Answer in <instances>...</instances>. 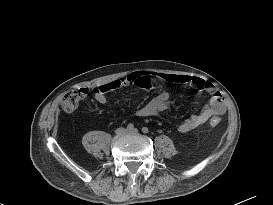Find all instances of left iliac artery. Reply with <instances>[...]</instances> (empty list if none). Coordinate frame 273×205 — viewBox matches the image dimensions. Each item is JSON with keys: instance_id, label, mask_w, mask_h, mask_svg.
<instances>
[{"instance_id": "left-iliac-artery-1", "label": "left iliac artery", "mask_w": 273, "mask_h": 205, "mask_svg": "<svg viewBox=\"0 0 273 205\" xmlns=\"http://www.w3.org/2000/svg\"><path fill=\"white\" fill-rule=\"evenodd\" d=\"M142 132H143V133H148V132H149V130H148V128H147V127H143V128H142Z\"/></svg>"}]
</instances>
